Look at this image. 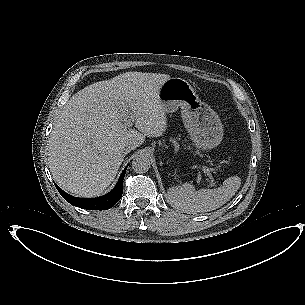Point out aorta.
Returning <instances> with one entry per match:
<instances>
[{"mask_svg":"<svg viewBox=\"0 0 305 305\" xmlns=\"http://www.w3.org/2000/svg\"><path fill=\"white\" fill-rule=\"evenodd\" d=\"M150 165L149 157L145 154H139L133 159L131 167L136 173H145L150 169Z\"/></svg>","mask_w":305,"mask_h":305,"instance_id":"1","label":"aorta"}]
</instances>
